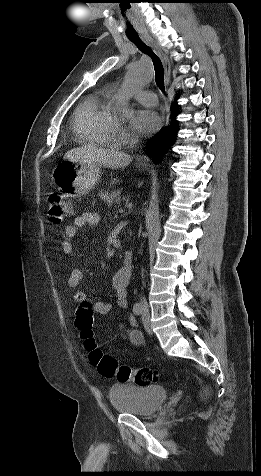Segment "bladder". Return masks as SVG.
Returning <instances> with one entry per match:
<instances>
[{"instance_id":"1","label":"bladder","mask_w":261,"mask_h":476,"mask_svg":"<svg viewBox=\"0 0 261 476\" xmlns=\"http://www.w3.org/2000/svg\"><path fill=\"white\" fill-rule=\"evenodd\" d=\"M167 398L159 385L119 383L109 390V399L115 410L135 416H149L158 411Z\"/></svg>"}]
</instances>
